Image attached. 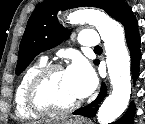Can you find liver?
Masks as SVG:
<instances>
[{
	"mask_svg": "<svg viewBox=\"0 0 145 124\" xmlns=\"http://www.w3.org/2000/svg\"><path fill=\"white\" fill-rule=\"evenodd\" d=\"M64 120V118H59V119H55V120H47L46 121V124H56V123H59L60 121ZM34 124H39V122H36Z\"/></svg>",
	"mask_w": 145,
	"mask_h": 124,
	"instance_id": "6515ba94",
	"label": "liver"
}]
</instances>
